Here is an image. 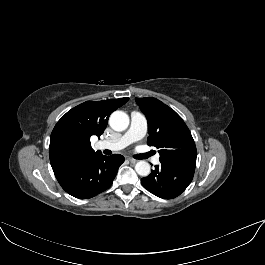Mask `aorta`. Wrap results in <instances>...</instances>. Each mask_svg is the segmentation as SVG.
<instances>
[{"label": "aorta", "instance_id": "762f6f07", "mask_svg": "<svg viewBox=\"0 0 265 265\" xmlns=\"http://www.w3.org/2000/svg\"><path fill=\"white\" fill-rule=\"evenodd\" d=\"M109 124L115 131H124L129 126V116L123 111H115L109 118ZM150 170V164L146 161H139L135 165V171L140 176H148Z\"/></svg>", "mask_w": 265, "mask_h": 265}]
</instances>
